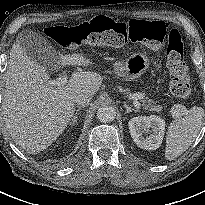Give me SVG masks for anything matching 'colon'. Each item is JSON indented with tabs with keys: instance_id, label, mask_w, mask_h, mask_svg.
<instances>
[{
	"instance_id": "colon-1",
	"label": "colon",
	"mask_w": 205,
	"mask_h": 205,
	"mask_svg": "<svg viewBox=\"0 0 205 205\" xmlns=\"http://www.w3.org/2000/svg\"><path fill=\"white\" fill-rule=\"evenodd\" d=\"M47 34L60 46L72 50L82 44L117 48L130 42L156 50L163 45L167 29L160 20L136 18L127 23H120L98 15L78 26L53 25L47 29ZM166 55L172 76L170 91L178 99H187L191 95V86L184 60L183 42L177 29L168 33Z\"/></svg>"
}]
</instances>
